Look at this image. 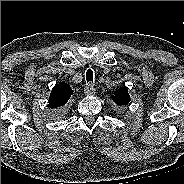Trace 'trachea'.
<instances>
[{"mask_svg":"<svg viewBox=\"0 0 184 184\" xmlns=\"http://www.w3.org/2000/svg\"><path fill=\"white\" fill-rule=\"evenodd\" d=\"M86 81L93 82V71L91 69H88L86 72Z\"/></svg>","mask_w":184,"mask_h":184,"instance_id":"3493384b","label":"trachea"}]
</instances>
